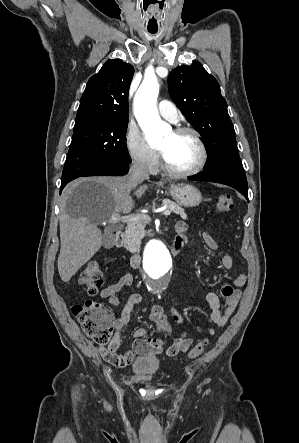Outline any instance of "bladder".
Wrapping results in <instances>:
<instances>
[{
    "instance_id": "obj_1",
    "label": "bladder",
    "mask_w": 299,
    "mask_h": 443,
    "mask_svg": "<svg viewBox=\"0 0 299 443\" xmlns=\"http://www.w3.org/2000/svg\"><path fill=\"white\" fill-rule=\"evenodd\" d=\"M160 368V359L156 355L141 357L133 361L131 371L139 379L146 380Z\"/></svg>"
}]
</instances>
